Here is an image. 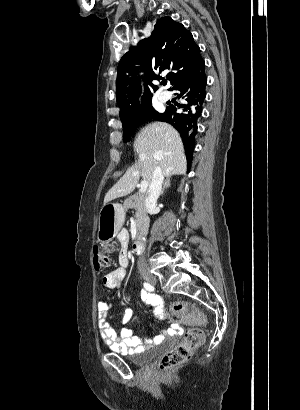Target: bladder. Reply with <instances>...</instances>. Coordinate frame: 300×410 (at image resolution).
Segmentation results:
<instances>
[{"mask_svg": "<svg viewBox=\"0 0 300 410\" xmlns=\"http://www.w3.org/2000/svg\"><path fill=\"white\" fill-rule=\"evenodd\" d=\"M153 355H154L153 350H147L141 354H135V355L128 356V359L131 363L135 365H144L152 359Z\"/></svg>", "mask_w": 300, "mask_h": 410, "instance_id": "bladder-1", "label": "bladder"}]
</instances>
